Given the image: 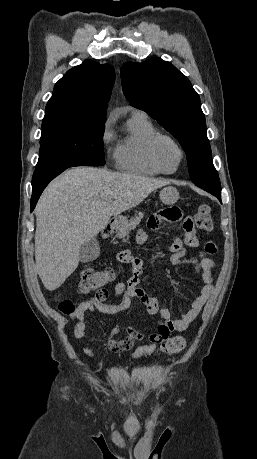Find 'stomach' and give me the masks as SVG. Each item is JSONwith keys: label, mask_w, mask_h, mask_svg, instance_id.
<instances>
[{"label": "stomach", "mask_w": 257, "mask_h": 459, "mask_svg": "<svg viewBox=\"0 0 257 459\" xmlns=\"http://www.w3.org/2000/svg\"><path fill=\"white\" fill-rule=\"evenodd\" d=\"M160 200L162 203L171 205L174 204L179 198L178 190L173 186H166L160 191ZM127 224L125 217L119 216L114 221V229L121 231Z\"/></svg>", "instance_id": "1"}]
</instances>
